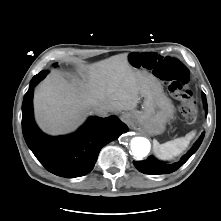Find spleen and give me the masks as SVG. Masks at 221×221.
<instances>
[{
    "label": "spleen",
    "instance_id": "spleen-1",
    "mask_svg": "<svg viewBox=\"0 0 221 221\" xmlns=\"http://www.w3.org/2000/svg\"><path fill=\"white\" fill-rule=\"evenodd\" d=\"M195 136V131H191L184 137H180L163 144L157 140H153V151L157 158L161 160H169L181 154L189 145Z\"/></svg>",
    "mask_w": 221,
    "mask_h": 221
}]
</instances>
